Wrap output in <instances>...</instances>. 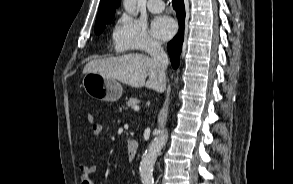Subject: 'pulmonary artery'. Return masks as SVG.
<instances>
[{
  "mask_svg": "<svg viewBox=\"0 0 293 184\" xmlns=\"http://www.w3.org/2000/svg\"><path fill=\"white\" fill-rule=\"evenodd\" d=\"M147 8L151 13H160L164 10V3L162 0H149Z\"/></svg>",
  "mask_w": 293,
  "mask_h": 184,
  "instance_id": "pulmonary-artery-1",
  "label": "pulmonary artery"
}]
</instances>
